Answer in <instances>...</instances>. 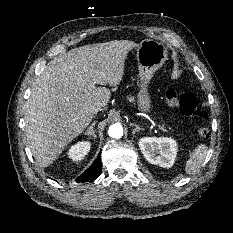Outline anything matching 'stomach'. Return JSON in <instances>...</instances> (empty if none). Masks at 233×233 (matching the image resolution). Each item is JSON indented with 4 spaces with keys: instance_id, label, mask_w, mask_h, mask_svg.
I'll return each mask as SVG.
<instances>
[{
    "instance_id": "obj_1",
    "label": "stomach",
    "mask_w": 233,
    "mask_h": 233,
    "mask_svg": "<svg viewBox=\"0 0 233 233\" xmlns=\"http://www.w3.org/2000/svg\"><path fill=\"white\" fill-rule=\"evenodd\" d=\"M138 62L139 92L137 93L138 108L149 113L152 108L148 84L154 73L165 63L167 48L161 42L145 39L135 47Z\"/></svg>"
}]
</instances>
